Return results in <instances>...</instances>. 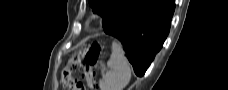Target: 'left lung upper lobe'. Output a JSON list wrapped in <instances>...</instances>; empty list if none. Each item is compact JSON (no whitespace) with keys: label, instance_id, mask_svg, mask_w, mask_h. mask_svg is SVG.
I'll use <instances>...</instances> for the list:
<instances>
[{"label":"left lung upper lobe","instance_id":"5c2ea615","mask_svg":"<svg viewBox=\"0 0 228 90\" xmlns=\"http://www.w3.org/2000/svg\"><path fill=\"white\" fill-rule=\"evenodd\" d=\"M95 13L103 17L104 30L110 27L116 18L129 7L130 0H88Z\"/></svg>","mask_w":228,"mask_h":90}]
</instances>
